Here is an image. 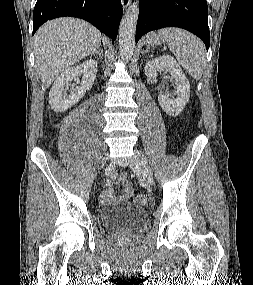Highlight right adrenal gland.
<instances>
[{"instance_id":"right-adrenal-gland-1","label":"right adrenal gland","mask_w":253,"mask_h":285,"mask_svg":"<svg viewBox=\"0 0 253 285\" xmlns=\"http://www.w3.org/2000/svg\"><path fill=\"white\" fill-rule=\"evenodd\" d=\"M95 54L98 55L100 58L103 57L100 46L96 47V49L91 53V55H95Z\"/></svg>"}]
</instances>
